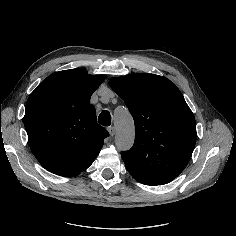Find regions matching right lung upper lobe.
<instances>
[{"label":"right lung upper lobe","instance_id":"right-lung-upper-lobe-1","mask_svg":"<svg viewBox=\"0 0 236 236\" xmlns=\"http://www.w3.org/2000/svg\"><path fill=\"white\" fill-rule=\"evenodd\" d=\"M104 79L82 69L64 70L30 94L24 125L34 155L48 171L76 176L98 156L109 133L97 123L90 97Z\"/></svg>","mask_w":236,"mask_h":236}]
</instances>
